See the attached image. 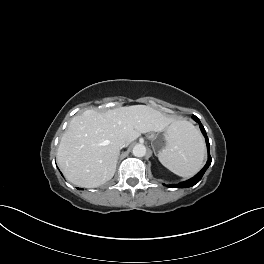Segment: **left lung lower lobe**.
I'll use <instances>...</instances> for the list:
<instances>
[{
  "label": "left lung lower lobe",
  "instance_id": "1",
  "mask_svg": "<svg viewBox=\"0 0 264 264\" xmlns=\"http://www.w3.org/2000/svg\"><path fill=\"white\" fill-rule=\"evenodd\" d=\"M192 118L196 122L199 123L200 129H201V131H202V133H203V135H204V137L206 139L207 149H208V152H209V140H208V137L206 135V131H205L203 125L201 124V122L199 121L198 117L193 116ZM211 160H212L211 156H210V154H208V161H207L206 165L203 167V169L197 175H195L193 178H191V179H189L187 181L181 182V183H179L177 185H168V186L170 188H176V187L177 188H188V187L194 186L196 183H198L201 180V178H202L203 174L205 173L206 169L211 164Z\"/></svg>",
  "mask_w": 264,
  "mask_h": 264
}]
</instances>
